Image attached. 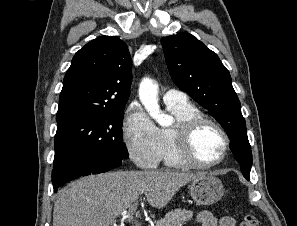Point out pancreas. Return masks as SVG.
I'll return each instance as SVG.
<instances>
[{
	"instance_id": "cf45deb5",
	"label": "pancreas",
	"mask_w": 297,
	"mask_h": 226,
	"mask_svg": "<svg viewBox=\"0 0 297 226\" xmlns=\"http://www.w3.org/2000/svg\"><path fill=\"white\" fill-rule=\"evenodd\" d=\"M193 217V212L186 209L169 211L165 217L157 221L156 226H182Z\"/></svg>"
}]
</instances>
